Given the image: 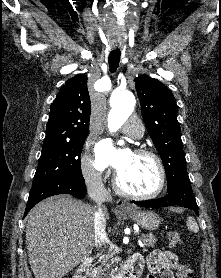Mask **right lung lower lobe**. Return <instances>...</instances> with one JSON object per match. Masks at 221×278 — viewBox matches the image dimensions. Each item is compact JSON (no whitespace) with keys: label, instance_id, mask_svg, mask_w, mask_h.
<instances>
[{"label":"right lung lower lobe","instance_id":"98d812e1","mask_svg":"<svg viewBox=\"0 0 221 278\" xmlns=\"http://www.w3.org/2000/svg\"><path fill=\"white\" fill-rule=\"evenodd\" d=\"M57 194H70L74 197L82 199L86 196L85 181H78L71 178H59L36 189H31L25 215L41 200Z\"/></svg>","mask_w":221,"mask_h":278}]
</instances>
